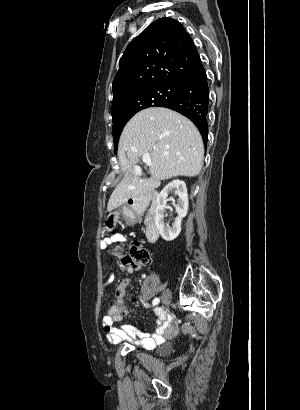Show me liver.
Segmentation results:
<instances>
[{"label": "liver", "instance_id": "liver-1", "mask_svg": "<svg viewBox=\"0 0 300 410\" xmlns=\"http://www.w3.org/2000/svg\"><path fill=\"white\" fill-rule=\"evenodd\" d=\"M147 153L152 160L151 178L141 179L136 165ZM118 156L124 177L109 198L108 212L130 198L153 191L162 180L198 175L204 145L189 119L170 109L153 107L140 111L126 124L119 139Z\"/></svg>", "mask_w": 300, "mask_h": 410}]
</instances>
